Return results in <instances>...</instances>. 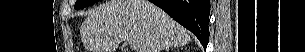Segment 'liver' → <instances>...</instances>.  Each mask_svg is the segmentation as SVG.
Wrapping results in <instances>:
<instances>
[{"label": "liver", "instance_id": "obj_1", "mask_svg": "<svg viewBox=\"0 0 305 52\" xmlns=\"http://www.w3.org/2000/svg\"><path fill=\"white\" fill-rule=\"evenodd\" d=\"M80 35L88 52H115L126 40L136 52H161L191 41L184 27L147 0H109L91 10Z\"/></svg>", "mask_w": 305, "mask_h": 52}]
</instances>
